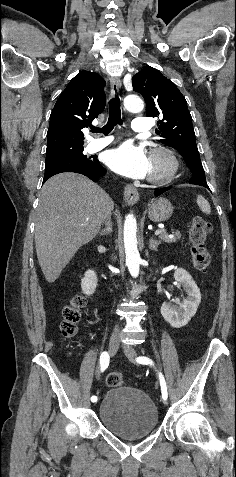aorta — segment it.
Masks as SVG:
<instances>
[{
	"label": "aorta",
	"instance_id": "1",
	"mask_svg": "<svg viewBox=\"0 0 236 477\" xmlns=\"http://www.w3.org/2000/svg\"><path fill=\"white\" fill-rule=\"evenodd\" d=\"M124 107L130 112H140L144 108V103L137 95H128L124 99ZM123 238L126 265L131 276L136 278L139 275L141 258L137 248V223L133 214L125 218Z\"/></svg>",
	"mask_w": 236,
	"mask_h": 477
}]
</instances>
